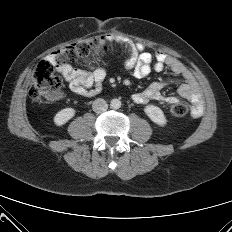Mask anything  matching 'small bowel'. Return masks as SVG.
Segmentation results:
<instances>
[{
	"instance_id": "1",
	"label": "small bowel",
	"mask_w": 232,
	"mask_h": 232,
	"mask_svg": "<svg viewBox=\"0 0 232 232\" xmlns=\"http://www.w3.org/2000/svg\"><path fill=\"white\" fill-rule=\"evenodd\" d=\"M106 38L109 40L116 39L126 45L130 54L126 69L132 77L143 79L152 70L160 72L165 69L171 74L167 79L153 82L144 90L135 93L132 96L135 103H145L150 100H159L167 104L177 103L179 101L177 96H166L162 93V90L173 81L174 76H178L182 79V83L178 87L179 96L191 103L193 117L202 115L204 107L199 88L192 72L183 62L163 51L151 54L142 45L123 40L115 35H108ZM57 72L67 82L70 91L79 96H92L99 93L107 76L103 67L95 65H89L88 70H81L63 64L57 66ZM61 98L62 94L59 93L51 99L60 100Z\"/></svg>"
}]
</instances>
